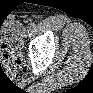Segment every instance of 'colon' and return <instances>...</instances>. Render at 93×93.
Here are the masks:
<instances>
[{
  "mask_svg": "<svg viewBox=\"0 0 93 93\" xmlns=\"http://www.w3.org/2000/svg\"><path fill=\"white\" fill-rule=\"evenodd\" d=\"M1 65L15 66L18 63L15 46L17 43L16 25L14 22L10 24H1Z\"/></svg>",
  "mask_w": 93,
  "mask_h": 93,
  "instance_id": "colon-1",
  "label": "colon"
}]
</instances>
